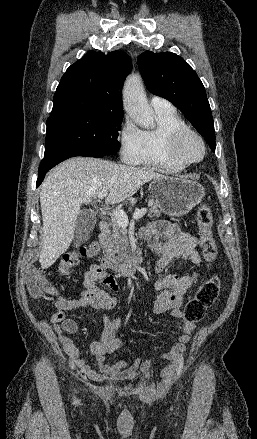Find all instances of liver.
Segmentation results:
<instances>
[{
    "mask_svg": "<svg viewBox=\"0 0 257 439\" xmlns=\"http://www.w3.org/2000/svg\"><path fill=\"white\" fill-rule=\"evenodd\" d=\"M161 177L164 176L150 168L89 157L71 158L56 166L40 191L42 269L53 265L69 248L82 204H90L102 190L109 191L106 204H118L132 197L145 183Z\"/></svg>",
    "mask_w": 257,
    "mask_h": 439,
    "instance_id": "liver-1",
    "label": "liver"
}]
</instances>
